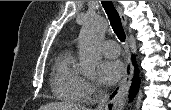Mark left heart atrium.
I'll use <instances>...</instances> for the list:
<instances>
[{"label":"left heart atrium","mask_w":171,"mask_h":110,"mask_svg":"<svg viewBox=\"0 0 171 110\" xmlns=\"http://www.w3.org/2000/svg\"><path fill=\"white\" fill-rule=\"evenodd\" d=\"M125 72L124 65L119 60H106L100 64L99 80L105 85L116 83Z\"/></svg>","instance_id":"1"}]
</instances>
